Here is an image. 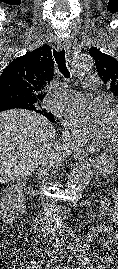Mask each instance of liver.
Instances as JSON below:
<instances>
[{
    "label": "liver",
    "mask_w": 118,
    "mask_h": 269,
    "mask_svg": "<svg viewBox=\"0 0 118 269\" xmlns=\"http://www.w3.org/2000/svg\"><path fill=\"white\" fill-rule=\"evenodd\" d=\"M56 131L50 121L33 111L0 113V183L30 175L54 152Z\"/></svg>",
    "instance_id": "6515ba94"
}]
</instances>
